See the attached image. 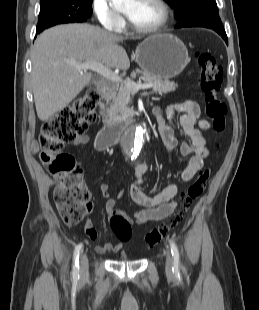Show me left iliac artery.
Returning a JSON list of instances; mask_svg holds the SVG:
<instances>
[{"instance_id":"1","label":"left iliac artery","mask_w":259,"mask_h":310,"mask_svg":"<svg viewBox=\"0 0 259 310\" xmlns=\"http://www.w3.org/2000/svg\"><path fill=\"white\" fill-rule=\"evenodd\" d=\"M170 248L173 257V271L178 272L180 267V257L178 248L173 241H170Z\"/></svg>"}]
</instances>
